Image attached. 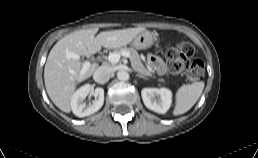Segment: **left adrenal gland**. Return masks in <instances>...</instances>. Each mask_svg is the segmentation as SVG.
<instances>
[{"instance_id": "left-adrenal-gland-1", "label": "left adrenal gland", "mask_w": 258, "mask_h": 158, "mask_svg": "<svg viewBox=\"0 0 258 158\" xmlns=\"http://www.w3.org/2000/svg\"><path fill=\"white\" fill-rule=\"evenodd\" d=\"M136 76H137V77H139V78L146 79V77H145V76H143V75H140V74H137Z\"/></svg>"}]
</instances>
